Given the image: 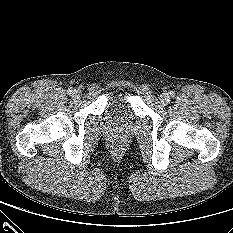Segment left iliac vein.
Wrapping results in <instances>:
<instances>
[{
  "label": "left iliac vein",
  "instance_id": "1",
  "mask_svg": "<svg viewBox=\"0 0 233 233\" xmlns=\"http://www.w3.org/2000/svg\"><path fill=\"white\" fill-rule=\"evenodd\" d=\"M160 101L162 104L166 105L170 101V97L168 96L167 93H163L160 95Z\"/></svg>",
  "mask_w": 233,
  "mask_h": 233
}]
</instances>
